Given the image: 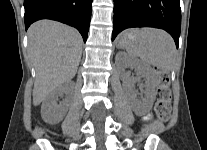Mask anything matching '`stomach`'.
<instances>
[{"label":"stomach","mask_w":207,"mask_h":150,"mask_svg":"<svg viewBox=\"0 0 207 150\" xmlns=\"http://www.w3.org/2000/svg\"><path fill=\"white\" fill-rule=\"evenodd\" d=\"M137 40V34L134 31L124 32L117 39L118 48H126Z\"/></svg>","instance_id":"0dacf381"}]
</instances>
